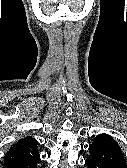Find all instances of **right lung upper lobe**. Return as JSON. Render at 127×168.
Wrapping results in <instances>:
<instances>
[{
  "label": "right lung upper lobe",
  "instance_id": "1",
  "mask_svg": "<svg viewBox=\"0 0 127 168\" xmlns=\"http://www.w3.org/2000/svg\"><path fill=\"white\" fill-rule=\"evenodd\" d=\"M38 142L33 138L27 137L14 144L5 155L6 159H26L39 157L37 153Z\"/></svg>",
  "mask_w": 127,
  "mask_h": 168
}]
</instances>
